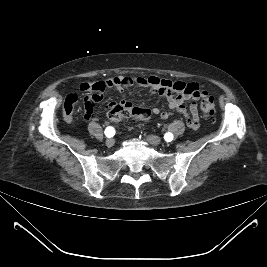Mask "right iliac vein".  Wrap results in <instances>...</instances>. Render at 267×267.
<instances>
[{
	"mask_svg": "<svg viewBox=\"0 0 267 267\" xmlns=\"http://www.w3.org/2000/svg\"><path fill=\"white\" fill-rule=\"evenodd\" d=\"M115 143V140L113 138H108L105 142L107 147H112Z\"/></svg>",
	"mask_w": 267,
	"mask_h": 267,
	"instance_id": "1",
	"label": "right iliac vein"
}]
</instances>
